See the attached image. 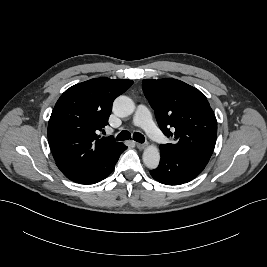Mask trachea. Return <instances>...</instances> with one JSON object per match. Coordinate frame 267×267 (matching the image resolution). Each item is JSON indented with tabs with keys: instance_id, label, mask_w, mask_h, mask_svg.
<instances>
[{
	"instance_id": "trachea-1",
	"label": "trachea",
	"mask_w": 267,
	"mask_h": 267,
	"mask_svg": "<svg viewBox=\"0 0 267 267\" xmlns=\"http://www.w3.org/2000/svg\"><path fill=\"white\" fill-rule=\"evenodd\" d=\"M130 137H131L130 132H128V131H122L121 133H119L117 135L116 139L119 140V141H123V140L130 139ZM133 139L135 141L139 142V143H143L145 141L144 136L141 133H138V132L134 133Z\"/></svg>"
}]
</instances>
